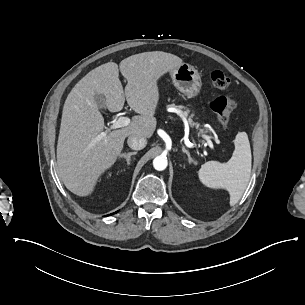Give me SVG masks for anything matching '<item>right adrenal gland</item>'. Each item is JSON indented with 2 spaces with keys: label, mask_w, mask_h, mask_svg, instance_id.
Here are the masks:
<instances>
[{
  "label": "right adrenal gland",
  "mask_w": 305,
  "mask_h": 305,
  "mask_svg": "<svg viewBox=\"0 0 305 305\" xmlns=\"http://www.w3.org/2000/svg\"><path fill=\"white\" fill-rule=\"evenodd\" d=\"M136 154H137L136 151L135 152H129V153H123V154H121V157H124L127 161V165H130L131 156L136 155Z\"/></svg>",
  "instance_id": "obj_1"
}]
</instances>
